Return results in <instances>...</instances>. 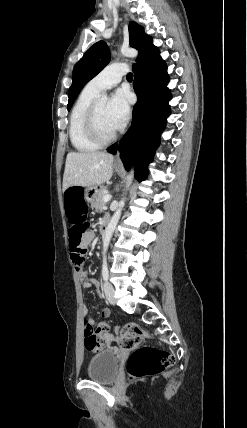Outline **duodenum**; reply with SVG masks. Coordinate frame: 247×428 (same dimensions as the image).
I'll return each instance as SVG.
<instances>
[{"label":"duodenum","mask_w":247,"mask_h":428,"mask_svg":"<svg viewBox=\"0 0 247 428\" xmlns=\"http://www.w3.org/2000/svg\"><path fill=\"white\" fill-rule=\"evenodd\" d=\"M108 224H109V219H108V218H105V219L102 221V224H101V232H102V233H105V232H106V230H107V228H108Z\"/></svg>","instance_id":"410a0bca"}]
</instances>
